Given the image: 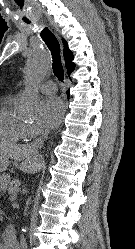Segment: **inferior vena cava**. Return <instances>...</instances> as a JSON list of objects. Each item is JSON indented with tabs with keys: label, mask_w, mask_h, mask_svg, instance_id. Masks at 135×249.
I'll list each match as a JSON object with an SVG mask.
<instances>
[{
	"label": "inferior vena cava",
	"mask_w": 135,
	"mask_h": 249,
	"mask_svg": "<svg viewBox=\"0 0 135 249\" xmlns=\"http://www.w3.org/2000/svg\"><path fill=\"white\" fill-rule=\"evenodd\" d=\"M47 137H48V130H41L40 136L32 142L31 148L35 154H38V150L43 146V143L47 139ZM18 249H27V244L24 238H21Z\"/></svg>",
	"instance_id": "obj_1"
}]
</instances>
